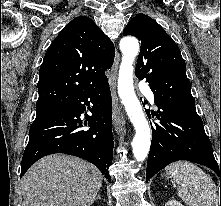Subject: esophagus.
<instances>
[{
	"mask_svg": "<svg viewBox=\"0 0 221 206\" xmlns=\"http://www.w3.org/2000/svg\"><path fill=\"white\" fill-rule=\"evenodd\" d=\"M119 62H120V55L116 52L115 61L111 70L110 86H111L113 104H114L113 124H114V129L118 134L122 131L123 126L125 125L124 115L117 103V95H116V81H117V71H118Z\"/></svg>",
	"mask_w": 221,
	"mask_h": 206,
	"instance_id": "1",
	"label": "esophagus"
}]
</instances>
